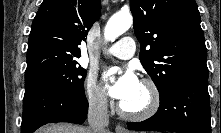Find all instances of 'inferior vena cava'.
I'll return each instance as SVG.
<instances>
[{"label": "inferior vena cava", "mask_w": 221, "mask_h": 133, "mask_svg": "<svg viewBox=\"0 0 221 133\" xmlns=\"http://www.w3.org/2000/svg\"><path fill=\"white\" fill-rule=\"evenodd\" d=\"M89 133H109L108 101L104 94L92 98L88 109Z\"/></svg>", "instance_id": "1"}]
</instances>
